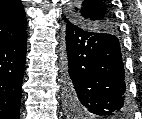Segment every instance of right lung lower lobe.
<instances>
[{
	"mask_svg": "<svg viewBox=\"0 0 142 119\" xmlns=\"http://www.w3.org/2000/svg\"><path fill=\"white\" fill-rule=\"evenodd\" d=\"M27 31L0 43V119H19Z\"/></svg>",
	"mask_w": 142,
	"mask_h": 119,
	"instance_id": "right-lung-lower-lobe-1",
	"label": "right lung lower lobe"
}]
</instances>
